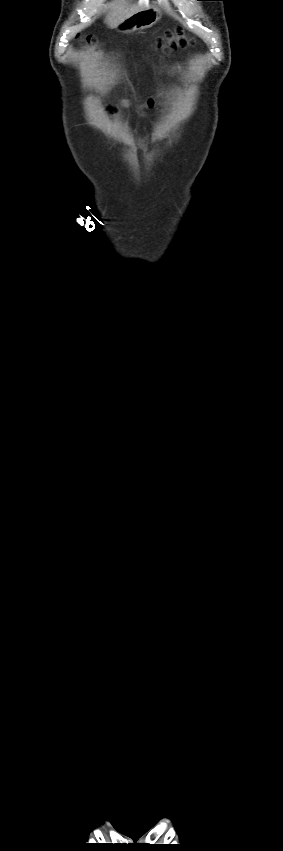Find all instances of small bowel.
<instances>
[{
	"label": "small bowel",
	"instance_id": "1",
	"mask_svg": "<svg viewBox=\"0 0 283 851\" xmlns=\"http://www.w3.org/2000/svg\"><path fill=\"white\" fill-rule=\"evenodd\" d=\"M122 104H123L124 106H129V101L124 100V101H122ZM145 105H146V106H148V107H153V106H154V102H153V100H149V101H147V103H146ZM137 112H138V114H139L140 116H142V117H146V114L143 112L142 107H139V108L137 109Z\"/></svg>",
	"mask_w": 283,
	"mask_h": 851
}]
</instances>
